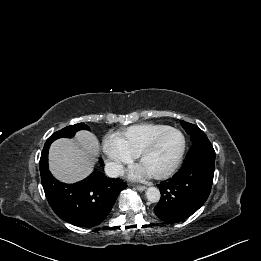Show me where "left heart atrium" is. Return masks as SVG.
Wrapping results in <instances>:
<instances>
[{
    "instance_id": "39dd6f15",
    "label": "left heart atrium",
    "mask_w": 261,
    "mask_h": 261,
    "mask_svg": "<svg viewBox=\"0 0 261 261\" xmlns=\"http://www.w3.org/2000/svg\"><path fill=\"white\" fill-rule=\"evenodd\" d=\"M152 174L148 172L146 169H144L142 166H140L137 171L134 173V177L138 179L148 178Z\"/></svg>"
}]
</instances>
